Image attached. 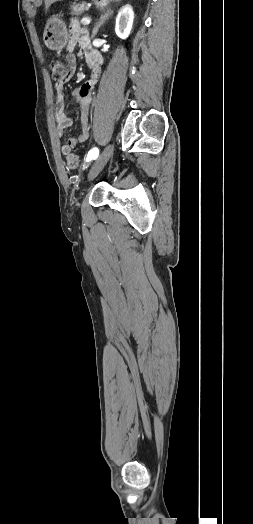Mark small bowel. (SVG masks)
Listing matches in <instances>:
<instances>
[{"mask_svg": "<svg viewBox=\"0 0 253 524\" xmlns=\"http://www.w3.org/2000/svg\"><path fill=\"white\" fill-rule=\"evenodd\" d=\"M76 46H79L80 53L85 57L86 63L90 69V79L80 87L70 93V97L75 99L80 109L81 130L69 138L61 147L63 155L68 156L72 150L79 144L85 142L89 136V121L93 103V90L101 75L102 59L100 55L91 47L88 31L81 27L77 22H73L70 28V37L68 43L69 54L66 57V71L61 74L60 82L55 84L57 94V103L55 108V118L57 123V134L62 136L66 128L73 123L72 117L65 112V93L64 88L70 84L72 77L77 70L76 56L72 53Z\"/></svg>", "mask_w": 253, "mask_h": 524, "instance_id": "small-bowel-1", "label": "small bowel"}]
</instances>
